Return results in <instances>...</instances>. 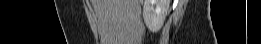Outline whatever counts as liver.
<instances>
[{
  "mask_svg": "<svg viewBox=\"0 0 261 44\" xmlns=\"http://www.w3.org/2000/svg\"><path fill=\"white\" fill-rule=\"evenodd\" d=\"M140 0H92L101 44L141 42Z\"/></svg>",
  "mask_w": 261,
  "mask_h": 44,
  "instance_id": "1",
  "label": "liver"
}]
</instances>
